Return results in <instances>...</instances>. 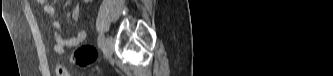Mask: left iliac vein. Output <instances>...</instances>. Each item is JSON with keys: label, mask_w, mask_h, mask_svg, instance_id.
<instances>
[{"label": "left iliac vein", "mask_w": 333, "mask_h": 76, "mask_svg": "<svg viewBox=\"0 0 333 76\" xmlns=\"http://www.w3.org/2000/svg\"><path fill=\"white\" fill-rule=\"evenodd\" d=\"M114 48V40L112 36H107L106 41L103 45L104 55L108 58L112 55Z\"/></svg>", "instance_id": "obj_1"}]
</instances>
